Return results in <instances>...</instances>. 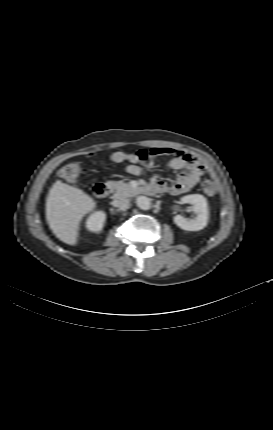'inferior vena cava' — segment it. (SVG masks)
I'll return each mask as SVG.
<instances>
[{"instance_id": "1", "label": "inferior vena cava", "mask_w": 273, "mask_h": 430, "mask_svg": "<svg viewBox=\"0 0 273 430\" xmlns=\"http://www.w3.org/2000/svg\"><path fill=\"white\" fill-rule=\"evenodd\" d=\"M116 206L121 208V209H125L129 206L130 204V200L128 198H120L119 200H117L115 202Z\"/></svg>"}]
</instances>
